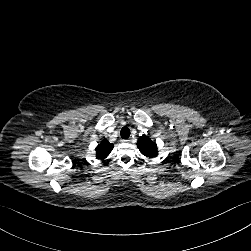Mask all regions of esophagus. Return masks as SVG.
<instances>
[{
	"label": "esophagus",
	"instance_id": "esophagus-1",
	"mask_svg": "<svg viewBox=\"0 0 251 251\" xmlns=\"http://www.w3.org/2000/svg\"><path fill=\"white\" fill-rule=\"evenodd\" d=\"M121 142H128V140L123 139V140H121Z\"/></svg>",
	"mask_w": 251,
	"mask_h": 251
}]
</instances>
